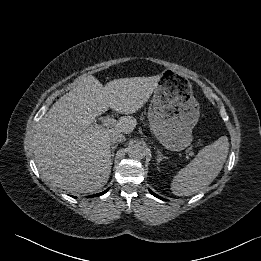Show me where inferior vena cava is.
<instances>
[{
	"label": "inferior vena cava",
	"instance_id": "inferior-vena-cava-1",
	"mask_svg": "<svg viewBox=\"0 0 261 261\" xmlns=\"http://www.w3.org/2000/svg\"><path fill=\"white\" fill-rule=\"evenodd\" d=\"M125 140V136L121 133H113L110 135V143L114 144L117 142H123Z\"/></svg>",
	"mask_w": 261,
	"mask_h": 261
}]
</instances>
